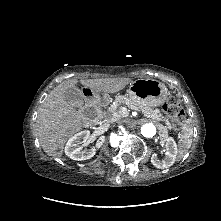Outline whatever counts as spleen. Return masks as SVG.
<instances>
[{
    "mask_svg": "<svg viewBox=\"0 0 221 221\" xmlns=\"http://www.w3.org/2000/svg\"><path fill=\"white\" fill-rule=\"evenodd\" d=\"M182 132L183 134L179 140V147H180V155L183 156L191 147L193 131L191 127L184 126Z\"/></svg>",
    "mask_w": 221,
    "mask_h": 221,
    "instance_id": "1",
    "label": "spleen"
}]
</instances>
